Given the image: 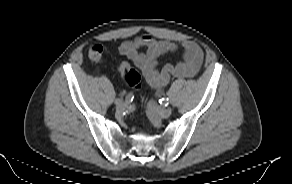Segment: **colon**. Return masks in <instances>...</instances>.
<instances>
[{
  "label": "colon",
  "instance_id": "1",
  "mask_svg": "<svg viewBox=\"0 0 292 184\" xmlns=\"http://www.w3.org/2000/svg\"><path fill=\"white\" fill-rule=\"evenodd\" d=\"M105 50L100 44H93L88 51V56L92 61H100L104 56ZM121 74L125 82L132 88H137L140 82L139 74L130 66L121 68Z\"/></svg>",
  "mask_w": 292,
  "mask_h": 184
}]
</instances>
